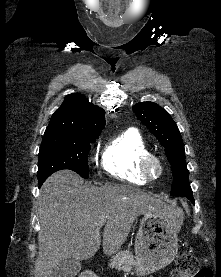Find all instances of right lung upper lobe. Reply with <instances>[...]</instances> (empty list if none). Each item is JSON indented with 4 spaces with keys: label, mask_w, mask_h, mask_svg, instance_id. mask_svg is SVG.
<instances>
[{
    "label": "right lung upper lobe",
    "mask_w": 221,
    "mask_h": 277,
    "mask_svg": "<svg viewBox=\"0 0 221 277\" xmlns=\"http://www.w3.org/2000/svg\"><path fill=\"white\" fill-rule=\"evenodd\" d=\"M105 123L102 108L90 103L82 94H70L52 115L45 132H99Z\"/></svg>",
    "instance_id": "cb5924a9"
}]
</instances>
